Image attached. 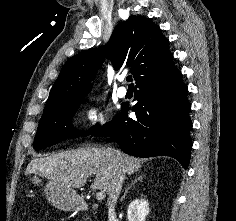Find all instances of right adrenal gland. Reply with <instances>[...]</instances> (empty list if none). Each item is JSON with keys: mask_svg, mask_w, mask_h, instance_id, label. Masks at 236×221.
<instances>
[{"mask_svg": "<svg viewBox=\"0 0 236 221\" xmlns=\"http://www.w3.org/2000/svg\"><path fill=\"white\" fill-rule=\"evenodd\" d=\"M143 179V174L141 175H136V178L134 180L131 181V183L129 184V186L125 189V192L123 194V196L121 197V202L125 199L126 194L128 193V190H130V188H132V186L137 182V181H142Z\"/></svg>", "mask_w": 236, "mask_h": 221, "instance_id": "right-adrenal-gland-1", "label": "right adrenal gland"}]
</instances>
